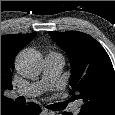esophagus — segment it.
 Wrapping results in <instances>:
<instances>
[{
	"mask_svg": "<svg viewBox=\"0 0 115 115\" xmlns=\"http://www.w3.org/2000/svg\"><path fill=\"white\" fill-rule=\"evenodd\" d=\"M42 113L46 114V115H54L55 112L54 111H51V110H48L46 108H43L42 109Z\"/></svg>",
	"mask_w": 115,
	"mask_h": 115,
	"instance_id": "34e87169",
	"label": "esophagus"
}]
</instances>
